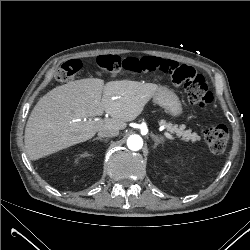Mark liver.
Returning <instances> with one entry per match:
<instances>
[{
	"label": "liver",
	"instance_id": "6515ba94",
	"mask_svg": "<svg viewBox=\"0 0 250 250\" xmlns=\"http://www.w3.org/2000/svg\"><path fill=\"white\" fill-rule=\"evenodd\" d=\"M158 88L153 83L119 80L104 84L102 79L87 78L52 89L28 118L24 138L27 155L38 160L85 142L101 129H125ZM104 111L111 118L91 120Z\"/></svg>",
	"mask_w": 250,
	"mask_h": 250
}]
</instances>
